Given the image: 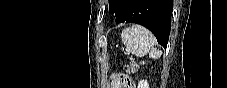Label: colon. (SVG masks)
Returning a JSON list of instances; mask_svg holds the SVG:
<instances>
[{
    "instance_id": "1",
    "label": "colon",
    "mask_w": 227,
    "mask_h": 88,
    "mask_svg": "<svg viewBox=\"0 0 227 88\" xmlns=\"http://www.w3.org/2000/svg\"><path fill=\"white\" fill-rule=\"evenodd\" d=\"M123 87H125V88H136L135 87V85H134V83L132 82V81H127L124 85H123Z\"/></svg>"
}]
</instances>
